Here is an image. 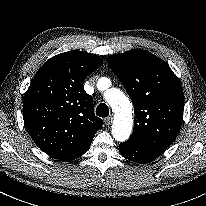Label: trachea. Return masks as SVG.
<instances>
[{"mask_svg": "<svg viewBox=\"0 0 206 206\" xmlns=\"http://www.w3.org/2000/svg\"><path fill=\"white\" fill-rule=\"evenodd\" d=\"M96 115L105 118L109 115V108L105 103H100L96 108Z\"/></svg>", "mask_w": 206, "mask_h": 206, "instance_id": "obj_1", "label": "trachea"}]
</instances>
